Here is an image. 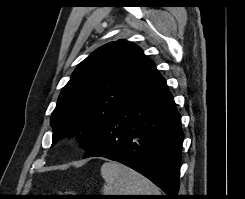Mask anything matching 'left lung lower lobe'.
Returning <instances> with one entry per match:
<instances>
[{
    "label": "left lung lower lobe",
    "mask_w": 245,
    "mask_h": 199,
    "mask_svg": "<svg viewBox=\"0 0 245 199\" xmlns=\"http://www.w3.org/2000/svg\"><path fill=\"white\" fill-rule=\"evenodd\" d=\"M181 117L159 74L111 115L84 158L100 156L141 173L176 199L183 142Z\"/></svg>",
    "instance_id": "0a47b994"
}]
</instances>
